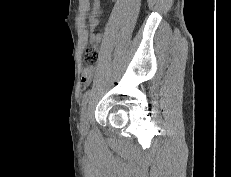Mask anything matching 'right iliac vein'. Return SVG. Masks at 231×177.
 <instances>
[{
  "label": "right iliac vein",
  "mask_w": 231,
  "mask_h": 177,
  "mask_svg": "<svg viewBox=\"0 0 231 177\" xmlns=\"http://www.w3.org/2000/svg\"><path fill=\"white\" fill-rule=\"evenodd\" d=\"M88 115H89V110L87 106H84L82 113H81V130L82 132H85L87 130V125H88Z\"/></svg>",
  "instance_id": "right-iliac-vein-1"
}]
</instances>
